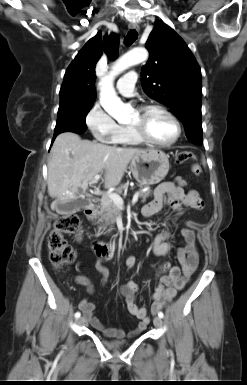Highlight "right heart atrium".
<instances>
[{
  "label": "right heart atrium",
  "mask_w": 247,
  "mask_h": 385,
  "mask_svg": "<svg viewBox=\"0 0 247 385\" xmlns=\"http://www.w3.org/2000/svg\"><path fill=\"white\" fill-rule=\"evenodd\" d=\"M85 122L96 140L102 143H116L120 126L100 103L93 104L86 115Z\"/></svg>",
  "instance_id": "1"
}]
</instances>
